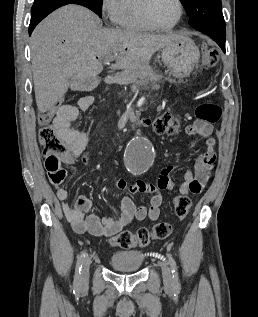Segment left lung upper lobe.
I'll list each match as a JSON object with an SVG mask.
<instances>
[{"label":"left lung upper lobe","mask_w":258,"mask_h":317,"mask_svg":"<svg viewBox=\"0 0 258 317\" xmlns=\"http://www.w3.org/2000/svg\"><path fill=\"white\" fill-rule=\"evenodd\" d=\"M180 1L190 17L189 24L196 30L201 28L225 29L221 0Z\"/></svg>","instance_id":"left-lung-upper-lobe-1"}]
</instances>
